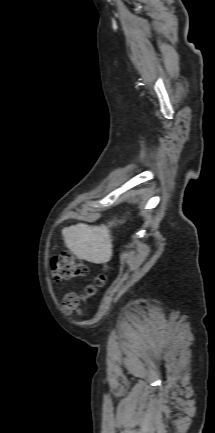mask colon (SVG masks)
<instances>
[{
    "label": "colon",
    "instance_id": "colon-1",
    "mask_svg": "<svg viewBox=\"0 0 215 433\" xmlns=\"http://www.w3.org/2000/svg\"><path fill=\"white\" fill-rule=\"evenodd\" d=\"M51 271L55 279L68 280L85 276L88 273V267L75 255L69 252H60L51 259ZM104 281L105 276L99 275L94 284L87 286L84 295L68 294L64 299L66 310L69 312L77 311L80 301L92 296L96 287L103 285Z\"/></svg>",
    "mask_w": 215,
    "mask_h": 433
}]
</instances>
